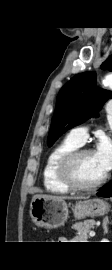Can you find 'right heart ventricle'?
Listing matches in <instances>:
<instances>
[{
  "label": "right heart ventricle",
  "mask_w": 112,
  "mask_h": 270,
  "mask_svg": "<svg viewBox=\"0 0 112 270\" xmlns=\"http://www.w3.org/2000/svg\"><path fill=\"white\" fill-rule=\"evenodd\" d=\"M80 146L70 136H67L50 151L42 172L43 184L47 191L55 194L69 193L70 189L61 182L58 176V164L65 154Z\"/></svg>",
  "instance_id": "obj_1"
}]
</instances>
